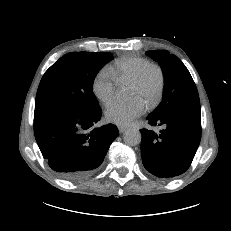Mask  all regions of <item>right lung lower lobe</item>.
<instances>
[{"instance_id":"right-lung-lower-lobe-1","label":"right lung lower lobe","mask_w":231,"mask_h":231,"mask_svg":"<svg viewBox=\"0 0 231 231\" xmlns=\"http://www.w3.org/2000/svg\"><path fill=\"white\" fill-rule=\"evenodd\" d=\"M101 109L90 114L37 106L34 134L50 168L67 180L89 177L101 165L119 132L115 125L94 128Z\"/></svg>"}]
</instances>
